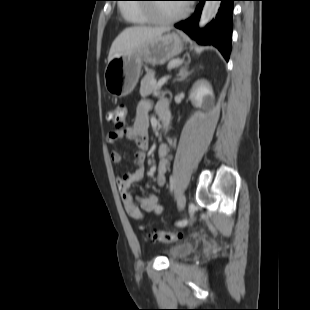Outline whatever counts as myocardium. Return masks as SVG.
Instances as JSON below:
<instances>
[{
	"label": "myocardium",
	"mask_w": 310,
	"mask_h": 310,
	"mask_svg": "<svg viewBox=\"0 0 310 310\" xmlns=\"http://www.w3.org/2000/svg\"><path fill=\"white\" fill-rule=\"evenodd\" d=\"M149 18L154 23L158 24H167V23H173L176 22L182 18H184L189 13V8L184 7L179 12L173 15H167V16H160L157 14V11L155 8L152 7H146L145 8Z\"/></svg>",
	"instance_id": "f54148a6"
}]
</instances>
